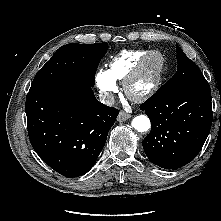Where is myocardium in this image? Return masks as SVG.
I'll use <instances>...</instances> for the list:
<instances>
[{
	"mask_svg": "<svg viewBox=\"0 0 221 221\" xmlns=\"http://www.w3.org/2000/svg\"><path fill=\"white\" fill-rule=\"evenodd\" d=\"M154 58L157 59V65L153 81L143 91L141 92L133 91L132 86L135 80L140 76V74L146 69L150 61ZM164 67H165V57L160 51L151 50L146 52V54L138 61V63L125 77L123 81V89L125 94L131 100L136 102L143 101L149 98L150 96H152L158 90L161 84Z\"/></svg>",
	"mask_w": 221,
	"mask_h": 221,
	"instance_id": "1",
	"label": "myocardium"
}]
</instances>
